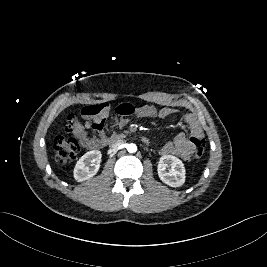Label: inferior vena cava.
I'll list each match as a JSON object with an SVG mask.
<instances>
[{"instance_id": "obj_1", "label": "inferior vena cava", "mask_w": 267, "mask_h": 267, "mask_svg": "<svg viewBox=\"0 0 267 267\" xmlns=\"http://www.w3.org/2000/svg\"><path fill=\"white\" fill-rule=\"evenodd\" d=\"M124 140L123 139H118V140H115L113 141L111 144H110V148H113V149H116L118 148L119 146H121L122 144H124Z\"/></svg>"}]
</instances>
